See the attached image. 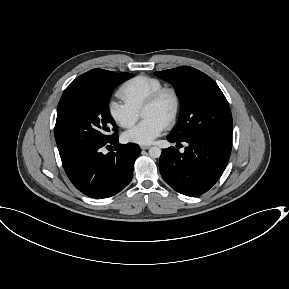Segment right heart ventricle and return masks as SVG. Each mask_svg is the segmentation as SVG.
I'll return each instance as SVG.
<instances>
[{"mask_svg": "<svg viewBox=\"0 0 289 289\" xmlns=\"http://www.w3.org/2000/svg\"><path fill=\"white\" fill-rule=\"evenodd\" d=\"M163 87V83L148 75H138L126 81L119 89V97L131 108L140 112L146 99L156 90Z\"/></svg>", "mask_w": 289, "mask_h": 289, "instance_id": "right-heart-ventricle-1", "label": "right heart ventricle"}]
</instances>
